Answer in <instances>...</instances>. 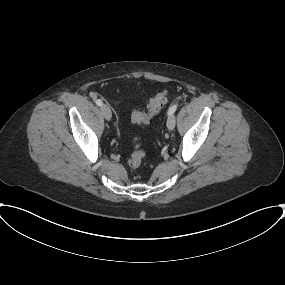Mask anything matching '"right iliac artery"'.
<instances>
[{
	"label": "right iliac artery",
	"instance_id": "82829eb1",
	"mask_svg": "<svg viewBox=\"0 0 285 285\" xmlns=\"http://www.w3.org/2000/svg\"><path fill=\"white\" fill-rule=\"evenodd\" d=\"M96 104H97L98 106H102L103 102H102L100 99H97V100H96Z\"/></svg>",
	"mask_w": 285,
	"mask_h": 285
}]
</instances>
